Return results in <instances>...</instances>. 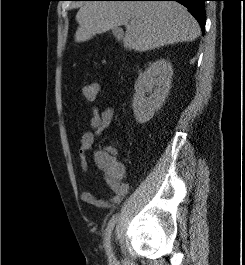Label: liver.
<instances>
[{
	"instance_id": "1",
	"label": "liver",
	"mask_w": 245,
	"mask_h": 265,
	"mask_svg": "<svg viewBox=\"0 0 245 265\" xmlns=\"http://www.w3.org/2000/svg\"><path fill=\"white\" fill-rule=\"evenodd\" d=\"M77 43L125 25L124 48L145 52L195 40L200 26L188 10L174 1H88L76 15Z\"/></svg>"
}]
</instances>
